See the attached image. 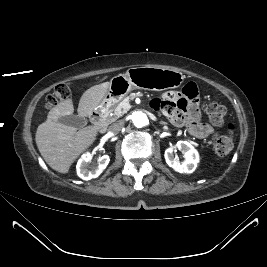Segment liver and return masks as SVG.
<instances>
[{
  "instance_id": "liver-1",
  "label": "liver",
  "mask_w": 267,
  "mask_h": 267,
  "mask_svg": "<svg viewBox=\"0 0 267 267\" xmlns=\"http://www.w3.org/2000/svg\"><path fill=\"white\" fill-rule=\"evenodd\" d=\"M109 82H104L87 89L80 98L78 114L87 117L98 107L105 96ZM74 106L71 99H66L54 106L48 113L47 120L36 131V144L45 162L60 173H68L72 163L96 140L98 128L87 126L77 130L58 121L62 116L72 115Z\"/></svg>"
}]
</instances>
